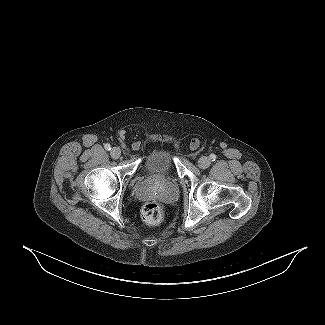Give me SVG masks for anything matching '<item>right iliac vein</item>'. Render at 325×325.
Instances as JSON below:
<instances>
[{"instance_id": "1", "label": "right iliac vein", "mask_w": 325, "mask_h": 325, "mask_svg": "<svg viewBox=\"0 0 325 325\" xmlns=\"http://www.w3.org/2000/svg\"><path fill=\"white\" fill-rule=\"evenodd\" d=\"M110 154L114 159H118L121 156V150L118 147H114L111 149Z\"/></svg>"}]
</instances>
